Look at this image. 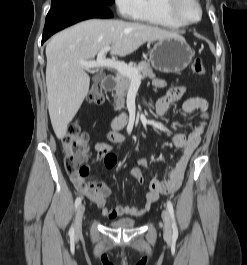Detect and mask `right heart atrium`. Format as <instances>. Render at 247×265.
Masks as SVG:
<instances>
[{
	"instance_id": "right-heart-atrium-1",
	"label": "right heart atrium",
	"mask_w": 247,
	"mask_h": 265,
	"mask_svg": "<svg viewBox=\"0 0 247 265\" xmlns=\"http://www.w3.org/2000/svg\"><path fill=\"white\" fill-rule=\"evenodd\" d=\"M120 14L128 19H133L139 10V0H115Z\"/></svg>"
}]
</instances>
